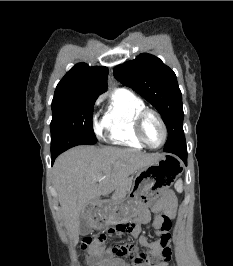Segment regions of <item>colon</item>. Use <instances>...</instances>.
Listing matches in <instances>:
<instances>
[{"instance_id": "obj_1", "label": "colon", "mask_w": 233, "mask_h": 266, "mask_svg": "<svg viewBox=\"0 0 233 266\" xmlns=\"http://www.w3.org/2000/svg\"><path fill=\"white\" fill-rule=\"evenodd\" d=\"M157 219L162 222V228L167 229L170 227V220L164 214H157ZM136 229V224L128 222V225H120V228H110L104 232L95 235L93 238L87 237L83 240L82 247L85 249L94 243H104L106 239L114 233H132ZM112 256L124 257L127 256L134 263L148 262L151 266L155 265L159 260L155 257H149L145 254L134 251L132 245L116 244L108 247Z\"/></svg>"}]
</instances>
